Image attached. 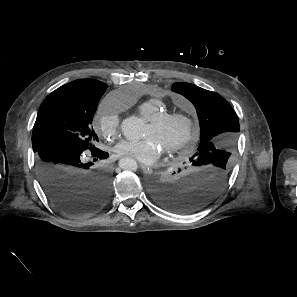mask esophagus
<instances>
[{
    "instance_id": "34e87169",
    "label": "esophagus",
    "mask_w": 297,
    "mask_h": 297,
    "mask_svg": "<svg viewBox=\"0 0 297 297\" xmlns=\"http://www.w3.org/2000/svg\"><path fill=\"white\" fill-rule=\"evenodd\" d=\"M140 167H141V169H142L145 173H151V172H152V169H151L149 166L145 165V164H140Z\"/></svg>"
}]
</instances>
